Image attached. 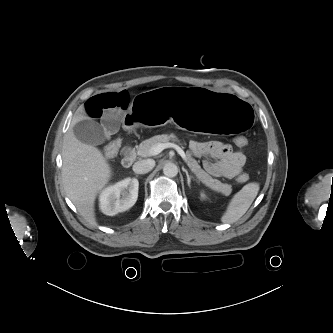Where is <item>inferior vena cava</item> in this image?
<instances>
[{"instance_id": "obj_1", "label": "inferior vena cava", "mask_w": 333, "mask_h": 333, "mask_svg": "<svg viewBox=\"0 0 333 333\" xmlns=\"http://www.w3.org/2000/svg\"><path fill=\"white\" fill-rule=\"evenodd\" d=\"M154 166L155 161L153 159L140 160L133 165V171L137 174H146L151 171Z\"/></svg>"}]
</instances>
